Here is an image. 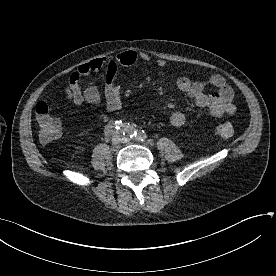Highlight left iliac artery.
I'll return each mask as SVG.
<instances>
[{
    "mask_svg": "<svg viewBox=\"0 0 276 276\" xmlns=\"http://www.w3.org/2000/svg\"><path fill=\"white\" fill-rule=\"evenodd\" d=\"M135 137L138 141H144V139L146 138V134L143 130H137Z\"/></svg>",
    "mask_w": 276,
    "mask_h": 276,
    "instance_id": "left-iliac-artery-1",
    "label": "left iliac artery"
}]
</instances>
